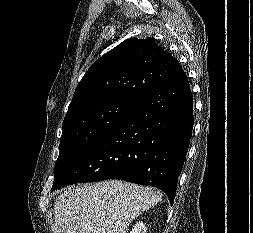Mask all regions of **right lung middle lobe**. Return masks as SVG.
Returning <instances> with one entry per match:
<instances>
[{"label": "right lung middle lobe", "instance_id": "obj_1", "mask_svg": "<svg viewBox=\"0 0 253 233\" xmlns=\"http://www.w3.org/2000/svg\"><path fill=\"white\" fill-rule=\"evenodd\" d=\"M134 99L113 97L84 105L65 116L54 183L89 153L123 118Z\"/></svg>", "mask_w": 253, "mask_h": 233}]
</instances>
